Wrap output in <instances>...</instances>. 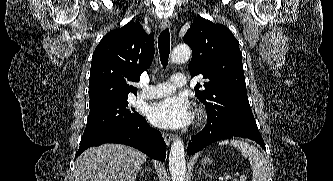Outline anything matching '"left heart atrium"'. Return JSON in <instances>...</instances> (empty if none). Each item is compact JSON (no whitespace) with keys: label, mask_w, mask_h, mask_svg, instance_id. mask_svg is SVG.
<instances>
[{"label":"left heart atrium","mask_w":333,"mask_h":181,"mask_svg":"<svg viewBox=\"0 0 333 181\" xmlns=\"http://www.w3.org/2000/svg\"><path fill=\"white\" fill-rule=\"evenodd\" d=\"M147 115L153 125L167 129L182 128L193 118L190 103L186 98L179 96L154 103L150 106Z\"/></svg>","instance_id":"obj_1"}]
</instances>
